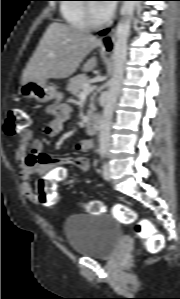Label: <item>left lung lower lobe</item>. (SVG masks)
<instances>
[{
	"mask_svg": "<svg viewBox=\"0 0 180 299\" xmlns=\"http://www.w3.org/2000/svg\"><path fill=\"white\" fill-rule=\"evenodd\" d=\"M107 32H108V30H103V31H101L99 34H100V35H105Z\"/></svg>",
	"mask_w": 180,
	"mask_h": 299,
	"instance_id": "1",
	"label": "left lung lower lobe"
}]
</instances>
